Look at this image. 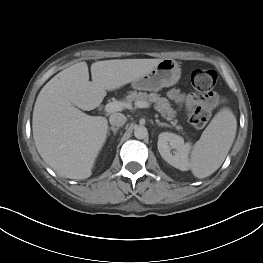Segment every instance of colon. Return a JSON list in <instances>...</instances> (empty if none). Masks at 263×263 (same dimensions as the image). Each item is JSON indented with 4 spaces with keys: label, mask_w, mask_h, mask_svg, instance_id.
Segmentation results:
<instances>
[{
    "label": "colon",
    "mask_w": 263,
    "mask_h": 263,
    "mask_svg": "<svg viewBox=\"0 0 263 263\" xmlns=\"http://www.w3.org/2000/svg\"><path fill=\"white\" fill-rule=\"evenodd\" d=\"M190 78L191 84L202 102L189 108L188 121L195 128H203L209 121L211 108L217 102L214 92L217 73L211 69H196L191 73Z\"/></svg>",
    "instance_id": "colon-1"
}]
</instances>
